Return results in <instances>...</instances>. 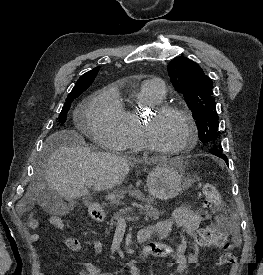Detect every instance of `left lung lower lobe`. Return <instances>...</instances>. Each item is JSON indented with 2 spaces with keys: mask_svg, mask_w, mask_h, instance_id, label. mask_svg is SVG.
Wrapping results in <instances>:
<instances>
[{
  "mask_svg": "<svg viewBox=\"0 0 263 275\" xmlns=\"http://www.w3.org/2000/svg\"><path fill=\"white\" fill-rule=\"evenodd\" d=\"M209 149H210V153L222 158L223 160H225L226 164L228 165V159H227L226 155L222 152L221 147L213 145V146H210Z\"/></svg>",
  "mask_w": 263,
  "mask_h": 275,
  "instance_id": "0a47b994",
  "label": "left lung lower lobe"
}]
</instances>
